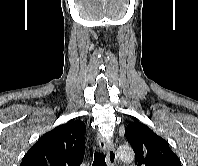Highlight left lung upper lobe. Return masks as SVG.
Wrapping results in <instances>:
<instances>
[{
  "instance_id": "obj_1",
  "label": "left lung upper lobe",
  "mask_w": 198,
  "mask_h": 166,
  "mask_svg": "<svg viewBox=\"0 0 198 166\" xmlns=\"http://www.w3.org/2000/svg\"><path fill=\"white\" fill-rule=\"evenodd\" d=\"M125 136L134 150L137 166H181L168 142L145 124L138 121L130 123Z\"/></svg>"
}]
</instances>
